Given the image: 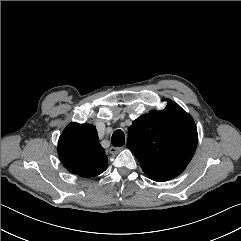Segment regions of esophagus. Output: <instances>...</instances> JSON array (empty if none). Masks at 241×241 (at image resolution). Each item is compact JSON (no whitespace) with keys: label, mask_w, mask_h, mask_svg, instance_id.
Returning <instances> with one entry per match:
<instances>
[{"label":"esophagus","mask_w":241,"mask_h":241,"mask_svg":"<svg viewBox=\"0 0 241 241\" xmlns=\"http://www.w3.org/2000/svg\"><path fill=\"white\" fill-rule=\"evenodd\" d=\"M122 150V147H110L109 152L111 154H117Z\"/></svg>","instance_id":"obj_1"}]
</instances>
